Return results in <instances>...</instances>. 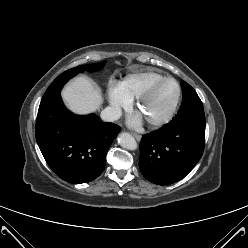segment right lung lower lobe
<instances>
[{"mask_svg":"<svg viewBox=\"0 0 248 248\" xmlns=\"http://www.w3.org/2000/svg\"><path fill=\"white\" fill-rule=\"evenodd\" d=\"M119 131L118 125L101 122L95 114L74 115L60 94L39 106V148L54 173L73 184L90 182L102 173L106 153Z\"/></svg>","mask_w":248,"mask_h":248,"instance_id":"98d812e1","label":"right lung lower lobe"}]
</instances>
